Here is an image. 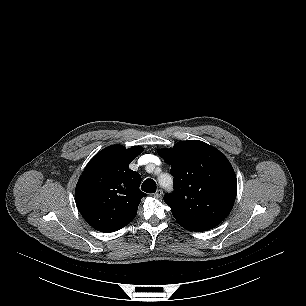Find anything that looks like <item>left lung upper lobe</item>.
<instances>
[{"instance_id": "obj_1", "label": "left lung upper lobe", "mask_w": 306, "mask_h": 306, "mask_svg": "<svg viewBox=\"0 0 306 306\" xmlns=\"http://www.w3.org/2000/svg\"><path fill=\"white\" fill-rule=\"evenodd\" d=\"M159 155L171 165L174 192L164 195L174 218L186 229L206 231L230 213L237 192L235 172L216 148L198 140L181 141Z\"/></svg>"}]
</instances>
